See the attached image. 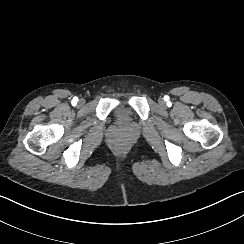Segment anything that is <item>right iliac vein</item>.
<instances>
[{
    "mask_svg": "<svg viewBox=\"0 0 244 244\" xmlns=\"http://www.w3.org/2000/svg\"><path fill=\"white\" fill-rule=\"evenodd\" d=\"M84 102H85V101H84L83 99H80V101H79V105H80V106H83V105H84Z\"/></svg>",
    "mask_w": 244,
    "mask_h": 244,
    "instance_id": "obj_1",
    "label": "right iliac vein"
}]
</instances>
